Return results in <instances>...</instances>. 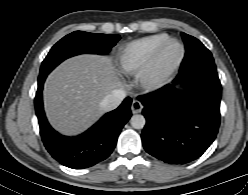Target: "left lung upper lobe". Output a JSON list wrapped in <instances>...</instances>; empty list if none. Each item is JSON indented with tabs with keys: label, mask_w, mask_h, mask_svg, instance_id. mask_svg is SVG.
<instances>
[{
	"label": "left lung upper lobe",
	"mask_w": 248,
	"mask_h": 195,
	"mask_svg": "<svg viewBox=\"0 0 248 195\" xmlns=\"http://www.w3.org/2000/svg\"><path fill=\"white\" fill-rule=\"evenodd\" d=\"M186 53L179 75L187 78L202 73H217L211 52L195 37L181 33Z\"/></svg>",
	"instance_id": "5c2ea615"
}]
</instances>
